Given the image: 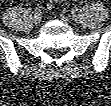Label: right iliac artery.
I'll return each mask as SVG.
<instances>
[{
    "label": "right iliac artery",
    "mask_w": 111,
    "mask_h": 106,
    "mask_svg": "<svg viewBox=\"0 0 111 106\" xmlns=\"http://www.w3.org/2000/svg\"><path fill=\"white\" fill-rule=\"evenodd\" d=\"M41 10H42V8H41L40 6H36L35 9H34V11H35L36 13L41 12Z\"/></svg>",
    "instance_id": "82829eb1"
}]
</instances>
